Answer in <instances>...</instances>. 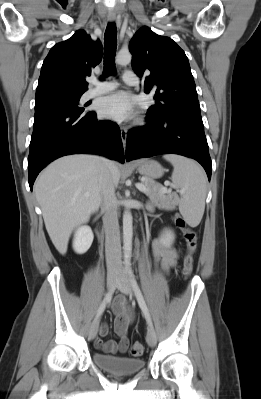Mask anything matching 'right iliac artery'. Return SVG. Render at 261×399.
<instances>
[{"label":"right iliac artery","mask_w":261,"mask_h":399,"mask_svg":"<svg viewBox=\"0 0 261 399\" xmlns=\"http://www.w3.org/2000/svg\"><path fill=\"white\" fill-rule=\"evenodd\" d=\"M112 295H113V290L106 294V296L104 297L102 303L100 304L97 310L96 318L100 317L103 314L104 310L106 309L107 305L110 303L112 299Z\"/></svg>","instance_id":"82829eb1"}]
</instances>
